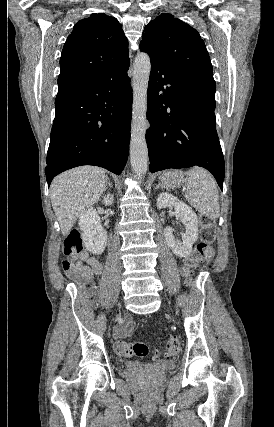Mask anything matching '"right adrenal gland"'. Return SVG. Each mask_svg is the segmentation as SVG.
I'll return each instance as SVG.
<instances>
[{"label":"right adrenal gland","instance_id":"2a0ac1e0","mask_svg":"<svg viewBox=\"0 0 274 427\" xmlns=\"http://www.w3.org/2000/svg\"><path fill=\"white\" fill-rule=\"evenodd\" d=\"M108 186H110V188H113L112 182H110V180H108Z\"/></svg>","mask_w":274,"mask_h":427}]
</instances>
